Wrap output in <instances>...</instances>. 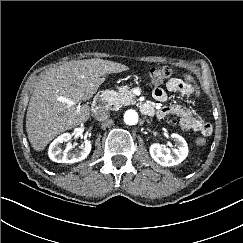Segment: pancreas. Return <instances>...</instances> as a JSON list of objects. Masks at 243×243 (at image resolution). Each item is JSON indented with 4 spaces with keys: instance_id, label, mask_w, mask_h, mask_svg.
<instances>
[{
    "instance_id": "cf45deb5",
    "label": "pancreas",
    "mask_w": 243,
    "mask_h": 243,
    "mask_svg": "<svg viewBox=\"0 0 243 243\" xmlns=\"http://www.w3.org/2000/svg\"><path fill=\"white\" fill-rule=\"evenodd\" d=\"M135 95L132 90H120V91H109L105 95V102L107 107L113 106V109L117 110L123 105L133 104L135 101Z\"/></svg>"
}]
</instances>
